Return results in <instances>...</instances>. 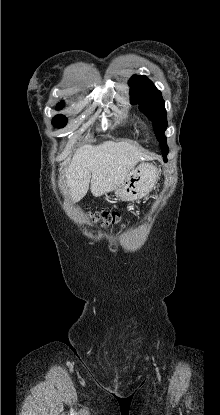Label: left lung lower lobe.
<instances>
[{
	"mask_svg": "<svg viewBox=\"0 0 220 415\" xmlns=\"http://www.w3.org/2000/svg\"><path fill=\"white\" fill-rule=\"evenodd\" d=\"M163 160H164L165 162H167V158H166V157H163Z\"/></svg>",
	"mask_w": 220,
	"mask_h": 415,
	"instance_id": "obj_1",
	"label": "left lung lower lobe"
}]
</instances>
